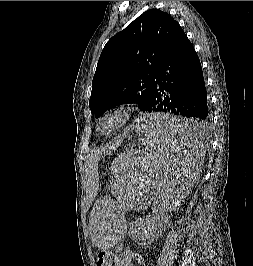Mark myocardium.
Masks as SVG:
<instances>
[{"label":"myocardium","instance_id":"obj_1","mask_svg":"<svg viewBox=\"0 0 253 266\" xmlns=\"http://www.w3.org/2000/svg\"><path fill=\"white\" fill-rule=\"evenodd\" d=\"M135 112V107L132 103L125 102L112 106L101 113L97 120V131L103 136H112L122 130L132 119ZM107 117H116L117 125L107 133L100 130L101 122Z\"/></svg>","mask_w":253,"mask_h":266}]
</instances>
